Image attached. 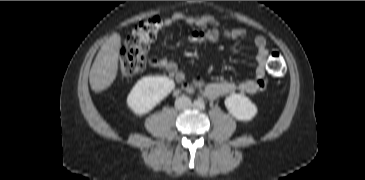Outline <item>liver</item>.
I'll use <instances>...</instances> for the list:
<instances>
[{
    "label": "liver",
    "instance_id": "6515ba94",
    "mask_svg": "<svg viewBox=\"0 0 365 180\" xmlns=\"http://www.w3.org/2000/svg\"><path fill=\"white\" fill-rule=\"evenodd\" d=\"M121 36L114 33L101 46L89 74V82L94 92L106 90L116 79Z\"/></svg>",
    "mask_w": 365,
    "mask_h": 180
}]
</instances>
